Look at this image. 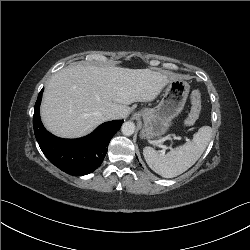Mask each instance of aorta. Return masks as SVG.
I'll return each instance as SVG.
<instances>
[{"label":"aorta","instance_id":"762f6f07","mask_svg":"<svg viewBox=\"0 0 250 250\" xmlns=\"http://www.w3.org/2000/svg\"><path fill=\"white\" fill-rule=\"evenodd\" d=\"M121 131H122L123 135H125V136L132 135L135 131V124L131 121H127V122L123 123V125L121 127Z\"/></svg>","mask_w":250,"mask_h":250}]
</instances>
